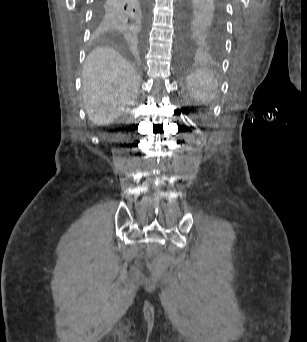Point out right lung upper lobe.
I'll list each match as a JSON object with an SVG mask.
<instances>
[{
	"instance_id": "right-lung-upper-lobe-1",
	"label": "right lung upper lobe",
	"mask_w": 307,
	"mask_h": 342,
	"mask_svg": "<svg viewBox=\"0 0 307 342\" xmlns=\"http://www.w3.org/2000/svg\"><path fill=\"white\" fill-rule=\"evenodd\" d=\"M149 15L148 0H97V32L114 40H138L145 33Z\"/></svg>"
}]
</instances>
